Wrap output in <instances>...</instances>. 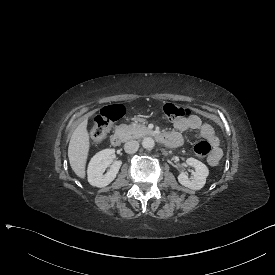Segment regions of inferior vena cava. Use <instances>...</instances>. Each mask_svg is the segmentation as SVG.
Returning <instances> with one entry per match:
<instances>
[{
	"label": "inferior vena cava",
	"instance_id": "obj_1",
	"mask_svg": "<svg viewBox=\"0 0 275 275\" xmlns=\"http://www.w3.org/2000/svg\"><path fill=\"white\" fill-rule=\"evenodd\" d=\"M139 148V143L136 140H130L124 144V150L128 154L135 153Z\"/></svg>",
	"mask_w": 275,
	"mask_h": 275
}]
</instances>
